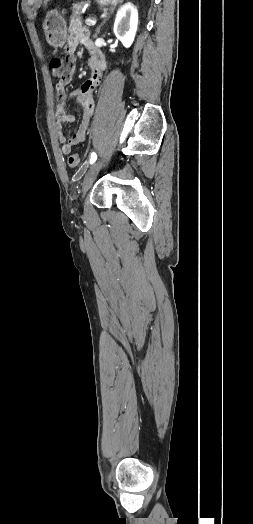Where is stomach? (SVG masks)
Segmentation results:
<instances>
[{"label":"stomach","mask_w":253,"mask_h":524,"mask_svg":"<svg viewBox=\"0 0 253 524\" xmlns=\"http://www.w3.org/2000/svg\"><path fill=\"white\" fill-rule=\"evenodd\" d=\"M100 5H115L121 0H96ZM43 30L47 42L57 48L66 42L67 27L63 16L57 10H51L46 14L43 22Z\"/></svg>","instance_id":"stomach-1"}]
</instances>
